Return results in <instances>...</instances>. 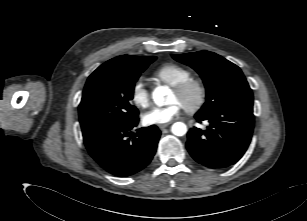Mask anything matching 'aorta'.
<instances>
[{
	"label": "aorta",
	"mask_w": 307,
	"mask_h": 221,
	"mask_svg": "<svg viewBox=\"0 0 307 221\" xmlns=\"http://www.w3.org/2000/svg\"><path fill=\"white\" fill-rule=\"evenodd\" d=\"M170 89L167 86H158L152 92V99L154 103L161 107L168 104L167 96ZM171 131L176 136H183L187 132V127L183 122H176L172 125Z\"/></svg>",
	"instance_id": "aorta-1"
}]
</instances>
